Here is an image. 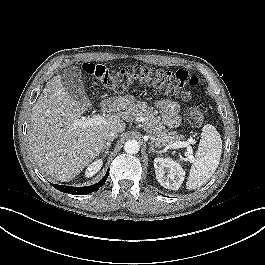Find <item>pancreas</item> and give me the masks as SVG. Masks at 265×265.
<instances>
[{
	"mask_svg": "<svg viewBox=\"0 0 265 265\" xmlns=\"http://www.w3.org/2000/svg\"><path fill=\"white\" fill-rule=\"evenodd\" d=\"M136 118H143L145 131L150 136L152 141L159 147L173 144L183 138L182 135H177L176 131H169L160 121L157 116V111L149 107L146 102H137L132 104L123 113V119L133 121Z\"/></svg>",
	"mask_w": 265,
	"mask_h": 265,
	"instance_id": "pancreas-1",
	"label": "pancreas"
}]
</instances>
